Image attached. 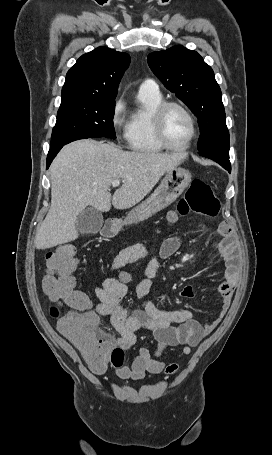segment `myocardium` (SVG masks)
<instances>
[{
  "instance_id": "1",
  "label": "myocardium",
  "mask_w": 272,
  "mask_h": 455,
  "mask_svg": "<svg viewBox=\"0 0 272 455\" xmlns=\"http://www.w3.org/2000/svg\"><path fill=\"white\" fill-rule=\"evenodd\" d=\"M173 107L183 111L188 117L191 124V136L189 140L184 145L181 146L173 145L172 143H170L165 133L164 127L165 116L167 111ZM152 126L155 138L158 141V143L163 148L171 151H185L189 149L198 135V125L194 114L187 106L178 101L172 100L162 101L153 111Z\"/></svg>"
}]
</instances>
